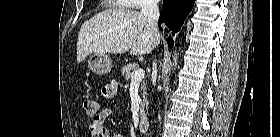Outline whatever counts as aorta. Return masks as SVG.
Returning <instances> with one entry per match:
<instances>
[{
  "mask_svg": "<svg viewBox=\"0 0 280 137\" xmlns=\"http://www.w3.org/2000/svg\"><path fill=\"white\" fill-rule=\"evenodd\" d=\"M177 61H178V53L175 50L174 51V56H173V64H172L174 70H175V67L177 66Z\"/></svg>",
  "mask_w": 280,
  "mask_h": 137,
  "instance_id": "762f6f07",
  "label": "aorta"
}]
</instances>
